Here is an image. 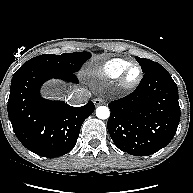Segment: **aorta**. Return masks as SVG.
<instances>
[{
  "mask_svg": "<svg viewBox=\"0 0 193 193\" xmlns=\"http://www.w3.org/2000/svg\"><path fill=\"white\" fill-rule=\"evenodd\" d=\"M96 116L99 119H103V120L109 118V116H110L109 108L107 106H99L96 109Z\"/></svg>",
  "mask_w": 193,
  "mask_h": 193,
  "instance_id": "aorta-1",
  "label": "aorta"
}]
</instances>
